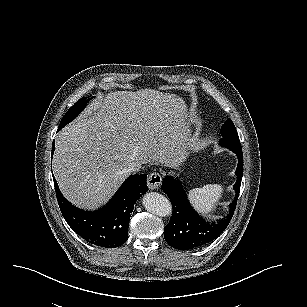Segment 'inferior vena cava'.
<instances>
[{
    "instance_id": "inferior-vena-cava-1",
    "label": "inferior vena cava",
    "mask_w": 307,
    "mask_h": 307,
    "mask_svg": "<svg viewBox=\"0 0 307 307\" xmlns=\"http://www.w3.org/2000/svg\"><path fill=\"white\" fill-rule=\"evenodd\" d=\"M140 166H138L136 163H131L126 169H125V173H136L140 170Z\"/></svg>"
}]
</instances>
